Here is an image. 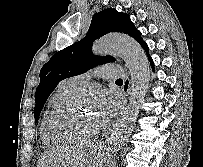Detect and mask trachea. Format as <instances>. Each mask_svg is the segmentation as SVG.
Returning <instances> with one entry per match:
<instances>
[{"label":"trachea","mask_w":203,"mask_h":167,"mask_svg":"<svg viewBox=\"0 0 203 167\" xmlns=\"http://www.w3.org/2000/svg\"><path fill=\"white\" fill-rule=\"evenodd\" d=\"M116 81H117V82H122L123 80L119 78V79H117Z\"/></svg>","instance_id":"obj_1"}]
</instances>
